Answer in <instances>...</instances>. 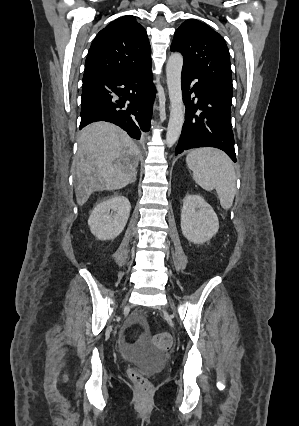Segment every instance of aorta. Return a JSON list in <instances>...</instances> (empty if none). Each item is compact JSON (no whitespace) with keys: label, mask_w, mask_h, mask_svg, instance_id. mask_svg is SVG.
<instances>
[{"label":"aorta","mask_w":299,"mask_h":426,"mask_svg":"<svg viewBox=\"0 0 299 426\" xmlns=\"http://www.w3.org/2000/svg\"><path fill=\"white\" fill-rule=\"evenodd\" d=\"M183 57L180 53H172L166 65V78L171 104L169 123L166 133V144L173 146L180 137L184 124L183 98L181 89V72Z\"/></svg>","instance_id":"obj_1"}]
</instances>
